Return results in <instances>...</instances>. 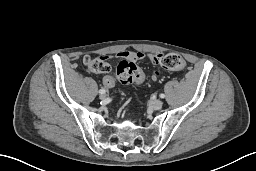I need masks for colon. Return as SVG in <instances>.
Here are the masks:
<instances>
[{
    "label": "colon",
    "mask_w": 256,
    "mask_h": 171,
    "mask_svg": "<svg viewBox=\"0 0 256 171\" xmlns=\"http://www.w3.org/2000/svg\"><path fill=\"white\" fill-rule=\"evenodd\" d=\"M85 62L88 69L95 74H105L110 71L109 63L102 57L87 58ZM160 64L167 70H180L184 66L182 58L175 53L163 55ZM116 76L122 83H141L144 80L143 70L130 61H122L118 65Z\"/></svg>",
    "instance_id": "1"
}]
</instances>
